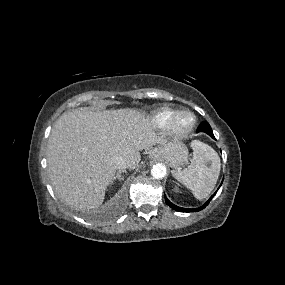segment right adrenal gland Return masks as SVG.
<instances>
[{
	"label": "right adrenal gland",
	"instance_id": "obj_1",
	"mask_svg": "<svg viewBox=\"0 0 285 285\" xmlns=\"http://www.w3.org/2000/svg\"><path fill=\"white\" fill-rule=\"evenodd\" d=\"M126 172L125 170H119L116 174V176L113 178V181L111 184H113V182L118 179L119 181L124 180V177L121 175L122 173Z\"/></svg>",
	"mask_w": 285,
	"mask_h": 285
}]
</instances>
